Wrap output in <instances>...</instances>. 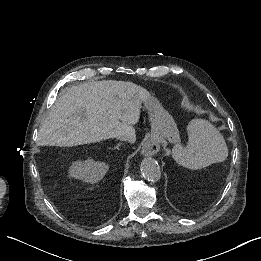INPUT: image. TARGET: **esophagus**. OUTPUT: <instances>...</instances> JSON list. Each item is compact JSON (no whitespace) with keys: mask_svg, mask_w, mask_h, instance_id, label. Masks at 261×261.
<instances>
[{"mask_svg":"<svg viewBox=\"0 0 261 261\" xmlns=\"http://www.w3.org/2000/svg\"><path fill=\"white\" fill-rule=\"evenodd\" d=\"M159 150H160V144L158 140L151 138L147 140V142L144 144L141 153L143 156L148 157L157 154Z\"/></svg>","mask_w":261,"mask_h":261,"instance_id":"34e87169","label":"esophagus"}]
</instances>
